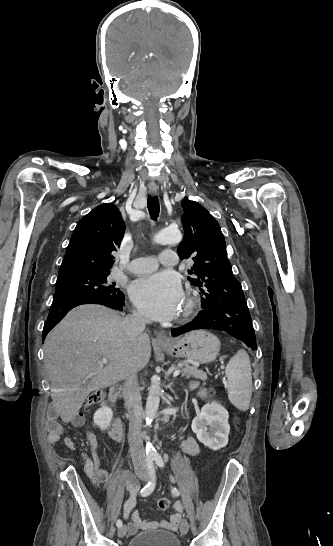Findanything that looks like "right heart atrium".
<instances>
[{"label": "right heart atrium", "mask_w": 333, "mask_h": 546, "mask_svg": "<svg viewBox=\"0 0 333 546\" xmlns=\"http://www.w3.org/2000/svg\"><path fill=\"white\" fill-rule=\"evenodd\" d=\"M135 315H136L137 317H140V314H139L138 312H135Z\"/></svg>", "instance_id": "right-heart-atrium-1"}]
</instances>
